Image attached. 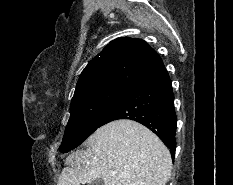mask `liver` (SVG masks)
<instances>
[{
    "label": "liver",
    "mask_w": 233,
    "mask_h": 185,
    "mask_svg": "<svg viewBox=\"0 0 233 185\" xmlns=\"http://www.w3.org/2000/svg\"><path fill=\"white\" fill-rule=\"evenodd\" d=\"M85 150L71 153L57 185H80L102 178L104 185H166L171 155L148 128L116 120L98 128Z\"/></svg>",
    "instance_id": "liver-1"
}]
</instances>
